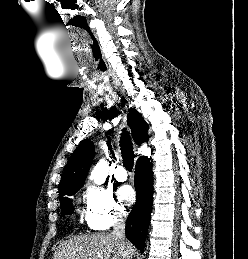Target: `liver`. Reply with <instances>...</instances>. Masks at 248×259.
Segmentation results:
<instances>
[{
	"label": "liver",
	"instance_id": "1",
	"mask_svg": "<svg viewBox=\"0 0 248 259\" xmlns=\"http://www.w3.org/2000/svg\"><path fill=\"white\" fill-rule=\"evenodd\" d=\"M132 246L112 233L74 237L62 243L53 259H131Z\"/></svg>",
	"mask_w": 248,
	"mask_h": 259
}]
</instances>
